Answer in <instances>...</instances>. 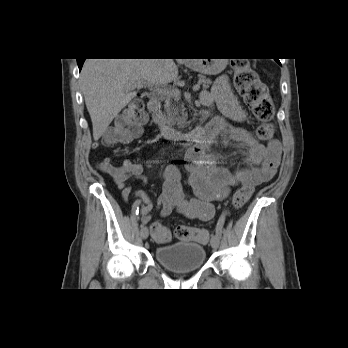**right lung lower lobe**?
<instances>
[{
  "mask_svg": "<svg viewBox=\"0 0 348 348\" xmlns=\"http://www.w3.org/2000/svg\"><path fill=\"white\" fill-rule=\"evenodd\" d=\"M84 61H85V59H77L79 70H81Z\"/></svg>",
  "mask_w": 348,
  "mask_h": 348,
  "instance_id": "right-lung-lower-lobe-1",
  "label": "right lung lower lobe"
}]
</instances>
